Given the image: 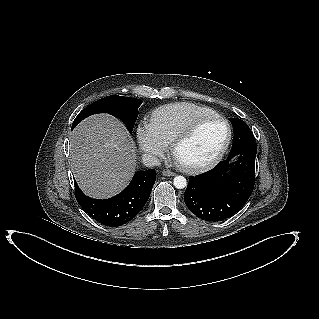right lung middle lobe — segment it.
Returning <instances> with one entry per match:
<instances>
[{"label": "right lung middle lobe", "mask_w": 319, "mask_h": 319, "mask_svg": "<svg viewBox=\"0 0 319 319\" xmlns=\"http://www.w3.org/2000/svg\"><path fill=\"white\" fill-rule=\"evenodd\" d=\"M142 104L139 99L111 95L102 98L84 108L75 118L72 129L84 118L97 113H109L120 118L128 130L132 132L138 117V108Z\"/></svg>", "instance_id": "right-lung-middle-lobe-1"}]
</instances>
